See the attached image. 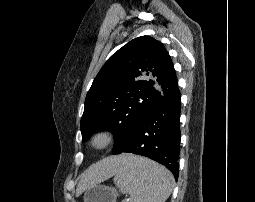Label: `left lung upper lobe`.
<instances>
[{"label":"left lung upper lobe","instance_id":"left-lung-upper-lobe-1","mask_svg":"<svg viewBox=\"0 0 255 202\" xmlns=\"http://www.w3.org/2000/svg\"><path fill=\"white\" fill-rule=\"evenodd\" d=\"M178 89L171 58L164 45L141 36L115 52L94 79L81 118L82 141L112 128L120 153L147 114Z\"/></svg>","mask_w":255,"mask_h":202}]
</instances>
